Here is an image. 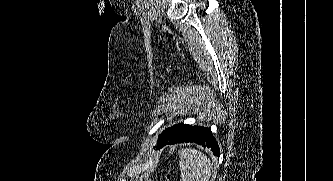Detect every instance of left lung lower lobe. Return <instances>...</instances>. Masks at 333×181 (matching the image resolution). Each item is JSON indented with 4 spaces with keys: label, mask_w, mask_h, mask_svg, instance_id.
I'll use <instances>...</instances> for the list:
<instances>
[{
    "label": "left lung lower lobe",
    "mask_w": 333,
    "mask_h": 181,
    "mask_svg": "<svg viewBox=\"0 0 333 181\" xmlns=\"http://www.w3.org/2000/svg\"><path fill=\"white\" fill-rule=\"evenodd\" d=\"M184 142H194L203 147L210 148L215 156L220 155V149L218 143L216 142L215 137H213L210 128L203 126H190L183 131L180 135L175 137L169 142L157 141V149L164 147L167 144H176Z\"/></svg>",
    "instance_id": "left-lung-lower-lobe-1"
}]
</instances>
